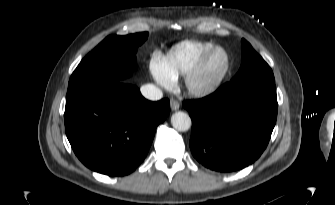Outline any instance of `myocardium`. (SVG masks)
I'll use <instances>...</instances> for the list:
<instances>
[{"label": "myocardium", "instance_id": "f54148a6", "mask_svg": "<svg viewBox=\"0 0 335 205\" xmlns=\"http://www.w3.org/2000/svg\"><path fill=\"white\" fill-rule=\"evenodd\" d=\"M217 52L223 53L225 64L220 74L213 80L203 83L201 76L210 58ZM231 67V58L228 51L222 46H214L201 55L195 65L186 74L185 85L188 92L198 98L206 97L214 93L223 83Z\"/></svg>", "mask_w": 335, "mask_h": 205}]
</instances>
